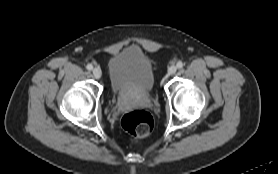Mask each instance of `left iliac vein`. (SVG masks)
<instances>
[{
    "instance_id": "1",
    "label": "left iliac vein",
    "mask_w": 278,
    "mask_h": 174,
    "mask_svg": "<svg viewBox=\"0 0 278 174\" xmlns=\"http://www.w3.org/2000/svg\"><path fill=\"white\" fill-rule=\"evenodd\" d=\"M176 71H177V67L174 66V65L170 66L169 69H168V73L170 75H174L176 73Z\"/></svg>"
}]
</instances>
